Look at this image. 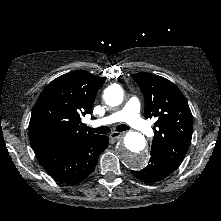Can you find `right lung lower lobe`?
I'll list each match as a JSON object with an SVG mask.
<instances>
[{"mask_svg":"<svg viewBox=\"0 0 221 221\" xmlns=\"http://www.w3.org/2000/svg\"><path fill=\"white\" fill-rule=\"evenodd\" d=\"M108 147V137L94 138L53 149L35 151L44 169L57 181L77 184L94 170L100 153Z\"/></svg>","mask_w":221,"mask_h":221,"instance_id":"98d812e1","label":"right lung lower lobe"}]
</instances>
